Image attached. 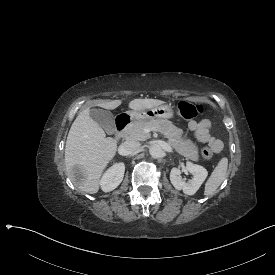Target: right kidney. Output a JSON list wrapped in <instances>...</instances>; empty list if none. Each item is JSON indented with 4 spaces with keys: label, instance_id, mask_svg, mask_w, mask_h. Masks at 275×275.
I'll use <instances>...</instances> for the list:
<instances>
[{
    "label": "right kidney",
    "instance_id": "right-kidney-1",
    "mask_svg": "<svg viewBox=\"0 0 275 275\" xmlns=\"http://www.w3.org/2000/svg\"><path fill=\"white\" fill-rule=\"evenodd\" d=\"M125 172L124 163H116L110 167L100 180L101 189L104 192H110L118 187L122 182Z\"/></svg>",
    "mask_w": 275,
    "mask_h": 275
}]
</instances>
